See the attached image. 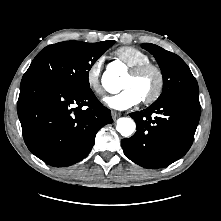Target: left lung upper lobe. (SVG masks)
Instances as JSON below:
<instances>
[{"instance_id": "1", "label": "left lung upper lobe", "mask_w": 221, "mask_h": 221, "mask_svg": "<svg viewBox=\"0 0 221 221\" xmlns=\"http://www.w3.org/2000/svg\"><path fill=\"white\" fill-rule=\"evenodd\" d=\"M141 47L154 55L163 75V91L156 102L179 93L199 94L195 77L178 55L150 43H144Z\"/></svg>"}]
</instances>
